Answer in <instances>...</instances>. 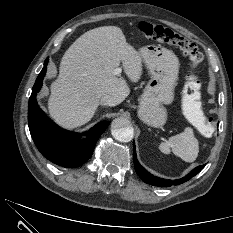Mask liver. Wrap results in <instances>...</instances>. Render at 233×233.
<instances>
[{
    "instance_id": "obj_1",
    "label": "liver",
    "mask_w": 233,
    "mask_h": 233,
    "mask_svg": "<svg viewBox=\"0 0 233 233\" xmlns=\"http://www.w3.org/2000/svg\"><path fill=\"white\" fill-rule=\"evenodd\" d=\"M121 62L130 81L138 82L142 58L119 27H98L81 35L65 52L51 84L48 109L53 120L77 128L90 121L104 95L113 96L115 105L123 102L130 89L125 79L113 75Z\"/></svg>"
}]
</instances>
